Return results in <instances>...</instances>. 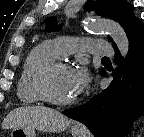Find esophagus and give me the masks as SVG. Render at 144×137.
Here are the masks:
<instances>
[{"mask_svg": "<svg viewBox=\"0 0 144 137\" xmlns=\"http://www.w3.org/2000/svg\"><path fill=\"white\" fill-rule=\"evenodd\" d=\"M77 128H82L83 126L81 124H76Z\"/></svg>", "mask_w": 144, "mask_h": 137, "instance_id": "1", "label": "esophagus"}]
</instances>
